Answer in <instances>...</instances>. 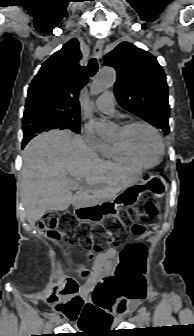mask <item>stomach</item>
I'll list each match as a JSON object with an SVG mask.
<instances>
[{"mask_svg":"<svg viewBox=\"0 0 194 336\" xmlns=\"http://www.w3.org/2000/svg\"><path fill=\"white\" fill-rule=\"evenodd\" d=\"M165 182L157 175L145 174L139 182L123 190L113 199L91 207L75 208L74 215L78 221L99 223L105 217L116 216L121 206L130 207L137 203L144 192H150L160 198L165 193Z\"/></svg>","mask_w":194,"mask_h":336,"instance_id":"0dacf381","label":"stomach"}]
</instances>
